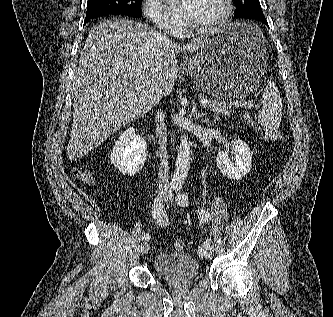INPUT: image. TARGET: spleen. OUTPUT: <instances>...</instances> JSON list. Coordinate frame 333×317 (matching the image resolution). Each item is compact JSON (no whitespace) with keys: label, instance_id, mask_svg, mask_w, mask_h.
<instances>
[{"label":"spleen","instance_id":"3e777b00","mask_svg":"<svg viewBox=\"0 0 333 317\" xmlns=\"http://www.w3.org/2000/svg\"><path fill=\"white\" fill-rule=\"evenodd\" d=\"M254 28L260 29L254 25ZM263 108L258 112L259 124L269 133L278 130L282 119V101L278 87L274 81H269L262 95Z\"/></svg>","mask_w":333,"mask_h":317}]
</instances>
